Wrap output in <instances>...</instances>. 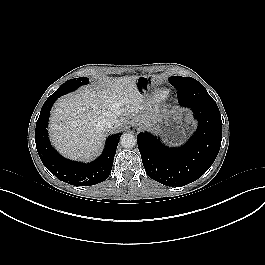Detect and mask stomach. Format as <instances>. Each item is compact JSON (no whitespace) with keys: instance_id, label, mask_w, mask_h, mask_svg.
Returning <instances> with one entry per match:
<instances>
[{"instance_id":"0dacf381","label":"stomach","mask_w":265,"mask_h":265,"mask_svg":"<svg viewBox=\"0 0 265 265\" xmlns=\"http://www.w3.org/2000/svg\"><path fill=\"white\" fill-rule=\"evenodd\" d=\"M157 82L154 75L140 76L137 87L146 93ZM157 130V143L165 149L183 146L194 134L195 124L192 116L180 106H169L160 110L154 118Z\"/></svg>"}]
</instances>
